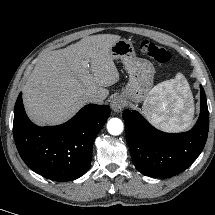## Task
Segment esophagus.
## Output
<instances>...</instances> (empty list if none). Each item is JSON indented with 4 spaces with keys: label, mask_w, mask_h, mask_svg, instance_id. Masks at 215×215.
<instances>
[{
    "label": "esophagus",
    "mask_w": 215,
    "mask_h": 215,
    "mask_svg": "<svg viewBox=\"0 0 215 215\" xmlns=\"http://www.w3.org/2000/svg\"><path fill=\"white\" fill-rule=\"evenodd\" d=\"M111 109L114 112H121L123 110V108L125 107V101L121 96H115L111 103H110Z\"/></svg>",
    "instance_id": "obj_1"
}]
</instances>
